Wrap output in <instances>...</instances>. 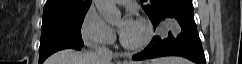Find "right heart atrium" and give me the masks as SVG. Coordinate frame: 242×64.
Masks as SVG:
<instances>
[{
	"instance_id": "obj_1",
	"label": "right heart atrium",
	"mask_w": 242,
	"mask_h": 64,
	"mask_svg": "<svg viewBox=\"0 0 242 64\" xmlns=\"http://www.w3.org/2000/svg\"><path fill=\"white\" fill-rule=\"evenodd\" d=\"M80 35L90 45L106 46L115 39L112 28L93 7L87 10L82 19Z\"/></svg>"
}]
</instances>
